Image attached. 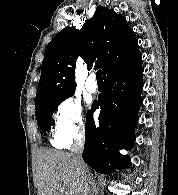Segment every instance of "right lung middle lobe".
<instances>
[{"instance_id": "dd1d6c3e", "label": "right lung middle lobe", "mask_w": 178, "mask_h": 195, "mask_svg": "<svg viewBox=\"0 0 178 195\" xmlns=\"http://www.w3.org/2000/svg\"><path fill=\"white\" fill-rule=\"evenodd\" d=\"M68 97L57 99V100H49L35 108L36 120L44 134L50 131L51 128L50 122H51L52 114L57 109L58 105Z\"/></svg>"}]
</instances>
